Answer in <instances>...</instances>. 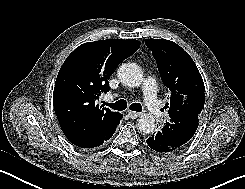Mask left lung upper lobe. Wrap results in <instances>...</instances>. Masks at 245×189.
I'll return each instance as SVG.
<instances>
[{
  "label": "left lung upper lobe",
  "mask_w": 245,
  "mask_h": 189,
  "mask_svg": "<svg viewBox=\"0 0 245 189\" xmlns=\"http://www.w3.org/2000/svg\"><path fill=\"white\" fill-rule=\"evenodd\" d=\"M157 62L163 84L171 91L170 120L161 132L182 147L195 134L205 103L203 79L192 58L178 44L165 39H146Z\"/></svg>",
  "instance_id": "obj_1"
}]
</instances>
